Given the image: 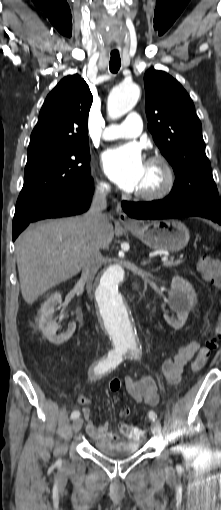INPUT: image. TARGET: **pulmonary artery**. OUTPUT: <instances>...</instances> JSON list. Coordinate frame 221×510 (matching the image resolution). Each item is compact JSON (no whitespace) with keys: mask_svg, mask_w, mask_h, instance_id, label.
Masks as SVG:
<instances>
[{"mask_svg":"<svg viewBox=\"0 0 221 510\" xmlns=\"http://www.w3.org/2000/svg\"><path fill=\"white\" fill-rule=\"evenodd\" d=\"M142 132V120L139 114L130 113L121 124H114L105 129L103 137L107 141L117 139H131Z\"/></svg>","mask_w":221,"mask_h":510,"instance_id":"obj_1","label":"pulmonary artery"}]
</instances>
